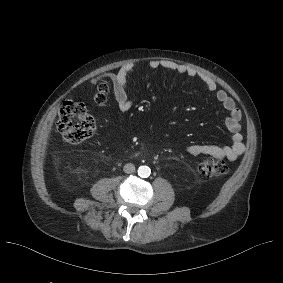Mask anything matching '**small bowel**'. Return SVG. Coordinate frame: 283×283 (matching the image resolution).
Instances as JSON below:
<instances>
[{"instance_id":"c3829d8e","label":"small bowel","mask_w":283,"mask_h":283,"mask_svg":"<svg viewBox=\"0 0 283 283\" xmlns=\"http://www.w3.org/2000/svg\"><path fill=\"white\" fill-rule=\"evenodd\" d=\"M151 69L164 68L178 74L186 75L191 78L198 77L206 86L207 90L212 92L216 100L227 111L225 124L232 133L231 144L229 145H190L185 148L186 153L197 155H209L217 159L235 160L243 154L245 145L241 134V111L237 107L235 101L224 91L217 88L216 82L206 74L199 73L194 68L187 67L182 64L169 60H151L149 62ZM138 68L135 64L130 63L122 66L116 73L110 74L108 77L113 84V92L119 109L126 112L131 109L133 101L129 95L128 78L135 74ZM97 80H92L94 85Z\"/></svg>"}]
</instances>
